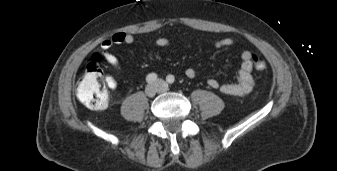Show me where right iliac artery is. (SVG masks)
<instances>
[{
	"label": "right iliac artery",
	"instance_id": "obj_1",
	"mask_svg": "<svg viewBox=\"0 0 337 171\" xmlns=\"http://www.w3.org/2000/svg\"><path fill=\"white\" fill-rule=\"evenodd\" d=\"M157 80V75L155 73H150L146 77L147 83L151 84Z\"/></svg>",
	"mask_w": 337,
	"mask_h": 171
}]
</instances>
